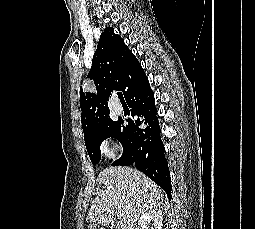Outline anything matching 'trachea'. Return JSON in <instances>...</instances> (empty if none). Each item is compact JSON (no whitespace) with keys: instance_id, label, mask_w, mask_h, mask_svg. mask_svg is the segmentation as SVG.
I'll return each mask as SVG.
<instances>
[{"instance_id":"trachea-1","label":"trachea","mask_w":255,"mask_h":229,"mask_svg":"<svg viewBox=\"0 0 255 229\" xmlns=\"http://www.w3.org/2000/svg\"><path fill=\"white\" fill-rule=\"evenodd\" d=\"M117 95L121 102L125 101L122 92H118Z\"/></svg>"}]
</instances>
